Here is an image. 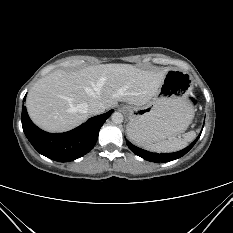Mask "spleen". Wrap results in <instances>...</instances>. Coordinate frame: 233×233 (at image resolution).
<instances>
[{
	"label": "spleen",
	"instance_id": "spleen-1",
	"mask_svg": "<svg viewBox=\"0 0 233 233\" xmlns=\"http://www.w3.org/2000/svg\"><path fill=\"white\" fill-rule=\"evenodd\" d=\"M129 138L137 143L138 145L143 146L145 149L153 152H175L185 148L190 142H192L196 137L195 131L187 132L183 135V138H171L164 140L158 143L153 144H141L138 138L135 135L129 134Z\"/></svg>",
	"mask_w": 233,
	"mask_h": 233
}]
</instances>
